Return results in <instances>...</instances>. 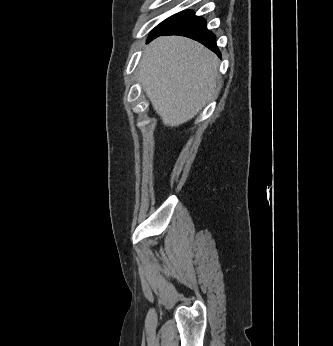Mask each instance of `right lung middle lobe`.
<instances>
[{"label": "right lung middle lobe", "mask_w": 333, "mask_h": 346, "mask_svg": "<svg viewBox=\"0 0 333 346\" xmlns=\"http://www.w3.org/2000/svg\"><path fill=\"white\" fill-rule=\"evenodd\" d=\"M178 14H179V13L174 14V15H172L171 17H169V18H167L166 20H164L163 22H161L157 27H155V28L153 29V31L151 32V34L157 33V32H160V31L166 29V28L173 22V20L177 17Z\"/></svg>", "instance_id": "1"}]
</instances>
